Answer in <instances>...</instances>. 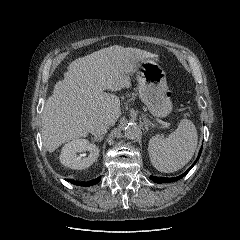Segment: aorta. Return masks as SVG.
<instances>
[{"instance_id": "762f6f07", "label": "aorta", "mask_w": 240, "mask_h": 240, "mask_svg": "<svg viewBox=\"0 0 240 240\" xmlns=\"http://www.w3.org/2000/svg\"><path fill=\"white\" fill-rule=\"evenodd\" d=\"M124 134L127 139H136L140 134V128L136 124H128L125 127Z\"/></svg>"}]
</instances>
